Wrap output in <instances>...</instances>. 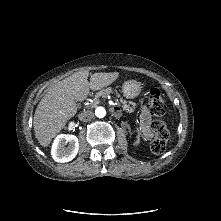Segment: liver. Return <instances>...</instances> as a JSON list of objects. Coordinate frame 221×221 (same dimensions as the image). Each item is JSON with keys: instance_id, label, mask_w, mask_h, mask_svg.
<instances>
[{"instance_id": "obj_1", "label": "liver", "mask_w": 221, "mask_h": 221, "mask_svg": "<svg viewBox=\"0 0 221 221\" xmlns=\"http://www.w3.org/2000/svg\"><path fill=\"white\" fill-rule=\"evenodd\" d=\"M89 71L72 74L55 84L39 102L33 120L35 137L43 147L61 132L67 121L77 113V101H83L89 90H100L119 77L118 72L94 73L90 82Z\"/></svg>"}]
</instances>
